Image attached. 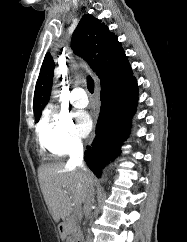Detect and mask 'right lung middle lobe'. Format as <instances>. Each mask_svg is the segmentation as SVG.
Returning a JSON list of instances; mask_svg holds the SVG:
<instances>
[{
    "instance_id": "right-lung-middle-lobe-1",
    "label": "right lung middle lobe",
    "mask_w": 187,
    "mask_h": 242,
    "mask_svg": "<svg viewBox=\"0 0 187 242\" xmlns=\"http://www.w3.org/2000/svg\"><path fill=\"white\" fill-rule=\"evenodd\" d=\"M40 116L35 117L36 122L39 121Z\"/></svg>"
}]
</instances>
